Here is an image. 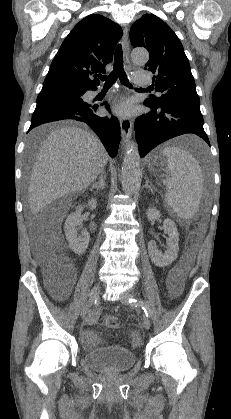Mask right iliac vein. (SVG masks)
Returning <instances> with one entry per match:
<instances>
[{"instance_id": "63e3f726", "label": "right iliac vein", "mask_w": 231, "mask_h": 419, "mask_svg": "<svg viewBox=\"0 0 231 419\" xmlns=\"http://www.w3.org/2000/svg\"><path fill=\"white\" fill-rule=\"evenodd\" d=\"M99 292H100V286L95 285L91 290L88 302L85 304V306L83 307V309L81 311L80 315H81L82 318H84L87 315V313L89 312L90 307H91L92 303L94 302V300L97 299V297L99 295Z\"/></svg>"}]
</instances>
